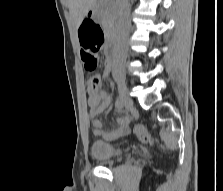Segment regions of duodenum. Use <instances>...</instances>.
<instances>
[{
    "label": "duodenum",
    "mask_w": 223,
    "mask_h": 191,
    "mask_svg": "<svg viewBox=\"0 0 223 191\" xmlns=\"http://www.w3.org/2000/svg\"><path fill=\"white\" fill-rule=\"evenodd\" d=\"M94 14H95L94 10L90 9L88 11L87 15L89 17H92ZM114 50H115L114 43L110 39L109 42H108V46H107L108 59H109L110 63H113Z\"/></svg>",
    "instance_id": "duodenum-1"
}]
</instances>
